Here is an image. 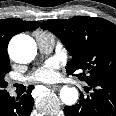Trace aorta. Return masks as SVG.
<instances>
[{"mask_svg":"<svg viewBox=\"0 0 116 116\" xmlns=\"http://www.w3.org/2000/svg\"><path fill=\"white\" fill-rule=\"evenodd\" d=\"M10 57L18 63L31 62L37 52L35 41L28 35H17L9 43ZM61 101L66 105H74L78 100V91L74 87L63 86L60 91Z\"/></svg>","mask_w":116,"mask_h":116,"instance_id":"obj_1","label":"aorta"}]
</instances>
